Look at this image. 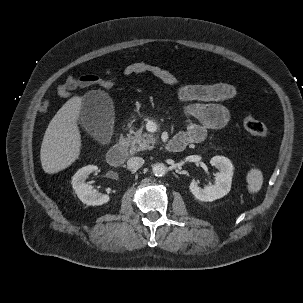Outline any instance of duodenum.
<instances>
[{"label": "duodenum", "instance_id": "410a0bca", "mask_svg": "<svg viewBox=\"0 0 303 303\" xmlns=\"http://www.w3.org/2000/svg\"><path fill=\"white\" fill-rule=\"evenodd\" d=\"M187 141L181 136L172 138L166 144L167 150L171 152H180L187 147ZM127 156V147L124 142L112 146L107 153V161L111 166L121 165Z\"/></svg>", "mask_w": 303, "mask_h": 303}]
</instances>
